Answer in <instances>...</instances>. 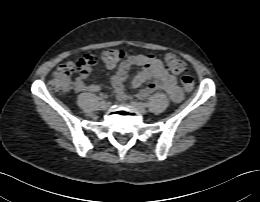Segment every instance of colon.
I'll return each instance as SVG.
<instances>
[{
	"instance_id": "obj_1",
	"label": "colon",
	"mask_w": 260,
	"mask_h": 202,
	"mask_svg": "<svg viewBox=\"0 0 260 202\" xmlns=\"http://www.w3.org/2000/svg\"><path fill=\"white\" fill-rule=\"evenodd\" d=\"M100 56L106 66L115 67L124 57V52L119 48H109L102 51ZM164 62L166 69L173 73L184 74L188 71L187 64L175 54H167ZM95 63L96 58L92 55H87L76 61H69L62 64L56 69L49 81V89L54 92H69L72 89V77L80 74L84 69L91 70ZM180 81L186 91L193 90L195 82L192 76L184 74Z\"/></svg>"
}]
</instances>
